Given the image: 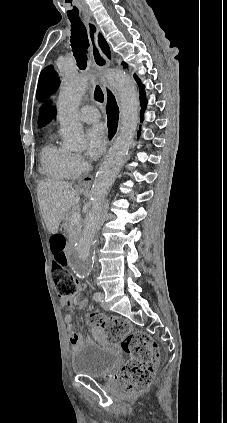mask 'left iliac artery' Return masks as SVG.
Masks as SVG:
<instances>
[{
  "label": "left iliac artery",
  "instance_id": "left-iliac-artery-1",
  "mask_svg": "<svg viewBox=\"0 0 227 423\" xmlns=\"http://www.w3.org/2000/svg\"><path fill=\"white\" fill-rule=\"evenodd\" d=\"M93 299L96 301H101V295L99 292L94 293Z\"/></svg>",
  "mask_w": 227,
  "mask_h": 423
}]
</instances>
